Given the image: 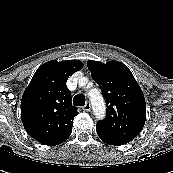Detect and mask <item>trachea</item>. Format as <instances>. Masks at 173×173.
<instances>
[{"mask_svg": "<svg viewBox=\"0 0 173 173\" xmlns=\"http://www.w3.org/2000/svg\"><path fill=\"white\" fill-rule=\"evenodd\" d=\"M85 96L83 94H77L73 98V104L75 106H84L85 105Z\"/></svg>", "mask_w": 173, "mask_h": 173, "instance_id": "obj_1", "label": "trachea"}]
</instances>
